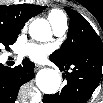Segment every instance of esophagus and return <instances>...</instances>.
Instances as JSON below:
<instances>
[{
    "label": "esophagus",
    "instance_id": "34e87169",
    "mask_svg": "<svg viewBox=\"0 0 103 103\" xmlns=\"http://www.w3.org/2000/svg\"><path fill=\"white\" fill-rule=\"evenodd\" d=\"M42 67H43L42 65L35 64V70L36 71L40 70Z\"/></svg>",
    "mask_w": 103,
    "mask_h": 103
}]
</instances>
